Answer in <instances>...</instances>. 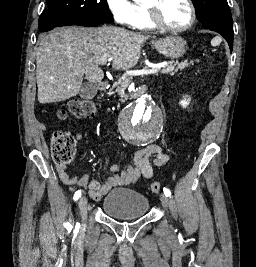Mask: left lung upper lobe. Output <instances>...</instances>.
Listing matches in <instances>:
<instances>
[{
	"label": "left lung upper lobe",
	"instance_id": "1",
	"mask_svg": "<svg viewBox=\"0 0 256 267\" xmlns=\"http://www.w3.org/2000/svg\"><path fill=\"white\" fill-rule=\"evenodd\" d=\"M199 20L210 29L220 33L233 48V22L227 0H192Z\"/></svg>",
	"mask_w": 256,
	"mask_h": 267
}]
</instances>
